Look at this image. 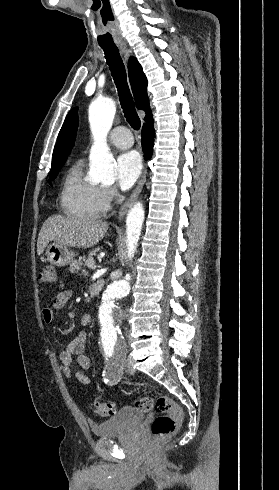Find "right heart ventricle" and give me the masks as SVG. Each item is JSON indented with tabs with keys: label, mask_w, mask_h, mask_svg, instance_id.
Masks as SVG:
<instances>
[{
	"label": "right heart ventricle",
	"mask_w": 279,
	"mask_h": 490,
	"mask_svg": "<svg viewBox=\"0 0 279 490\" xmlns=\"http://www.w3.org/2000/svg\"><path fill=\"white\" fill-rule=\"evenodd\" d=\"M97 190V186L82 178L79 163L71 165L64 176L61 192V204L66 215L82 220L97 218Z\"/></svg>",
	"instance_id": "right-heart-ventricle-1"
}]
</instances>
